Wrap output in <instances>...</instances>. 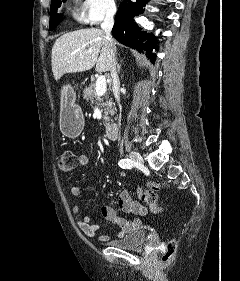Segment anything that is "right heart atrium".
Segmentation results:
<instances>
[{
    "mask_svg": "<svg viewBox=\"0 0 240 281\" xmlns=\"http://www.w3.org/2000/svg\"><path fill=\"white\" fill-rule=\"evenodd\" d=\"M117 11L115 0H83L82 14L91 24L112 18Z\"/></svg>",
    "mask_w": 240,
    "mask_h": 281,
    "instance_id": "1",
    "label": "right heart atrium"
}]
</instances>
